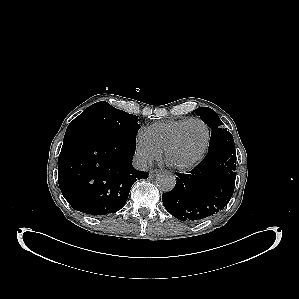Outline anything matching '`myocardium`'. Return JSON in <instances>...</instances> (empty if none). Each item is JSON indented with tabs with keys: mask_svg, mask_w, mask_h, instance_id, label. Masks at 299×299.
Returning a JSON list of instances; mask_svg holds the SVG:
<instances>
[{
	"mask_svg": "<svg viewBox=\"0 0 299 299\" xmlns=\"http://www.w3.org/2000/svg\"><path fill=\"white\" fill-rule=\"evenodd\" d=\"M194 122L201 124L205 129L206 136H205L204 144H203L200 152L197 154V156L195 158H193L191 161H189L187 163H177L171 159V152L175 148V146L178 144L184 129L189 124L194 123ZM209 142H210V129H209L208 125L203 120H201L199 118L188 119L185 123H183L177 129V131L174 133V135L168 142L167 146L165 147V149H164L165 159L171 166H173L174 168H176L178 170L186 171V170L192 169L203 159V157L208 149Z\"/></svg>",
	"mask_w": 299,
	"mask_h": 299,
	"instance_id": "myocardium-1",
	"label": "myocardium"
}]
</instances>
